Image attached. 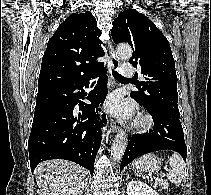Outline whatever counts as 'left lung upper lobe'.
I'll return each mask as SVG.
<instances>
[{
	"instance_id": "obj_1",
	"label": "left lung upper lobe",
	"mask_w": 211,
	"mask_h": 195,
	"mask_svg": "<svg viewBox=\"0 0 211 195\" xmlns=\"http://www.w3.org/2000/svg\"><path fill=\"white\" fill-rule=\"evenodd\" d=\"M114 42H128L133 54L129 62L139 67L144 82L131 97L146 109L179 117L175 61L168 40L144 14L134 9L121 12L112 22Z\"/></svg>"
}]
</instances>
